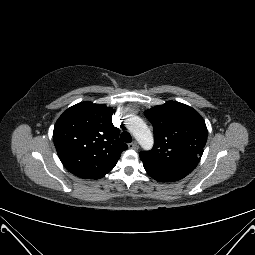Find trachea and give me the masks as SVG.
I'll return each instance as SVG.
<instances>
[{
	"label": "trachea",
	"instance_id": "1",
	"mask_svg": "<svg viewBox=\"0 0 255 255\" xmlns=\"http://www.w3.org/2000/svg\"><path fill=\"white\" fill-rule=\"evenodd\" d=\"M120 138H121L122 141H124L126 143H130L132 141L131 135L126 131L121 133Z\"/></svg>",
	"mask_w": 255,
	"mask_h": 255
}]
</instances>
